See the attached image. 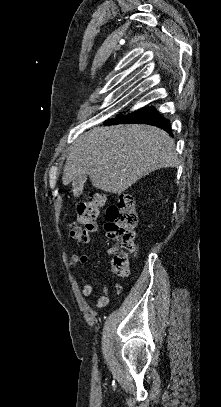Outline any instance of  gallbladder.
<instances>
[{"label":"gallbladder","instance_id":"obj_1","mask_svg":"<svg viewBox=\"0 0 221 407\" xmlns=\"http://www.w3.org/2000/svg\"><path fill=\"white\" fill-rule=\"evenodd\" d=\"M86 180L87 174H81L74 178L72 185L76 192L80 191L83 188Z\"/></svg>","mask_w":221,"mask_h":407}]
</instances>
